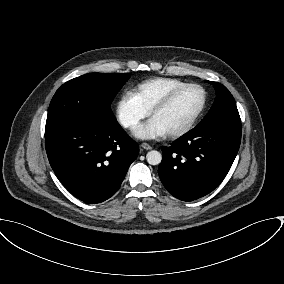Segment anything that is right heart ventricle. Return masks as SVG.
Segmentation results:
<instances>
[{"mask_svg":"<svg viewBox=\"0 0 284 284\" xmlns=\"http://www.w3.org/2000/svg\"><path fill=\"white\" fill-rule=\"evenodd\" d=\"M185 84V81L177 78L155 77L139 83L133 94L148 111H151L172 90Z\"/></svg>","mask_w":284,"mask_h":284,"instance_id":"e07e8e85","label":"right heart ventricle"}]
</instances>
